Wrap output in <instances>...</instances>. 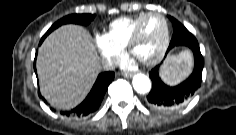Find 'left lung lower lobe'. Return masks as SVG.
Segmentation results:
<instances>
[{"mask_svg":"<svg viewBox=\"0 0 236 135\" xmlns=\"http://www.w3.org/2000/svg\"><path fill=\"white\" fill-rule=\"evenodd\" d=\"M170 18V17H169ZM174 33L168 51L176 46L189 47L194 53V70L184 82L177 86H167L159 77V65L150 72L152 89L147 96L148 105L163 113L171 112L188 102L199 89L202 82L204 60L196 38L176 19L170 18Z\"/></svg>","mask_w":236,"mask_h":135,"instance_id":"obj_1","label":"left lung lower lobe"}]
</instances>
